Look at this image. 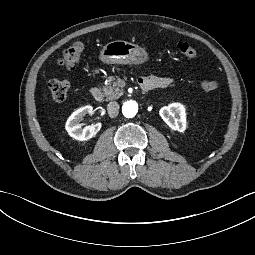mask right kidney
Wrapping results in <instances>:
<instances>
[{
  "mask_svg": "<svg viewBox=\"0 0 255 255\" xmlns=\"http://www.w3.org/2000/svg\"><path fill=\"white\" fill-rule=\"evenodd\" d=\"M93 113L92 106H85L74 111L68 118L65 128L68 134L80 141L88 140L95 136L101 128V123L92 124L82 129V125L79 123L82 118L87 114Z\"/></svg>",
  "mask_w": 255,
  "mask_h": 255,
  "instance_id": "1",
  "label": "right kidney"
}]
</instances>
